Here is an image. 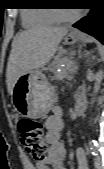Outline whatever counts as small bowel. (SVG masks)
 Here are the masks:
<instances>
[{
	"label": "small bowel",
	"instance_id": "small-bowel-1",
	"mask_svg": "<svg viewBox=\"0 0 104 169\" xmlns=\"http://www.w3.org/2000/svg\"><path fill=\"white\" fill-rule=\"evenodd\" d=\"M47 129L45 140L50 145L48 155L37 163V169H65L64 160L67 155L63 140L64 120L61 107H54L51 115L45 121ZM78 169H89L86 151L79 147L76 150Z\"/></svg>",
	"mask_w": 104,
	"mask_h": 169
}]
</instances>
